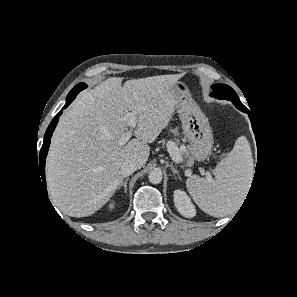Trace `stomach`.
I'll use <instances>...</instances> for the list:
<instances>
[{
	"label": "stomach",
	"instance_id": "stomach-1",
	"mask_svg": "<svg viewBox=\"0 0 297 297\" xmlns=\"http://www.w3.org/2000/svg\"><path fill=\"white\" fill-rule=\"evenodd\" d=\"M172 90L176 96V108L182 122L183 132L189 141L190 154L197 161H203L210 156L213 147L209 120L185 83L177 81Z\"/></svg>",
	"mask_w": 297,
	"mask_h": 297
}]
</instances>
